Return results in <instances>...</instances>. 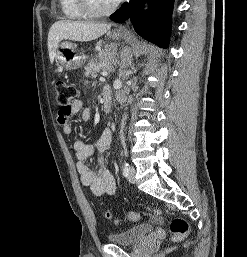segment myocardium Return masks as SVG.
<instances>
[{
	"label": "myocardium",
	"instance_id": "obj_1",
	"mask_svg": "<svg viewBox=\"0 0 247 257\" xmlns=\"http://www.w3.org/2000/svg\"><path fill=\"white\" fill-rule=\"evenodd\" d=\"M77 2L80 10L85 14V16L91 18H98L112 13L120 3V1H114L103 9H97L93 6L91 0H77Z\"/></svg>",
	"mask_w": 247,
	"mask_h": 257
}]
</instances>
